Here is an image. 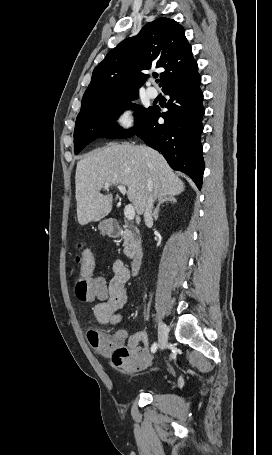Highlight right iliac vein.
Masks as SVG:
<instances>
[{
    "mask_svg": "<svg viewBox=\"0 0 272 455\" xmlns=\"http://www.w3.org/2000/svg\"><path fill=\"white\" fill-rule=\"evenodd\" d=\"M158 343L160 350L165 349L168 343V328L162 321H160L158 325Z\"/></svg>",
    "mask_w": 272,
    "mask_h": 455,
    "instance_id": "1",
    "label": "right iliac vein"
}]
</instances>
